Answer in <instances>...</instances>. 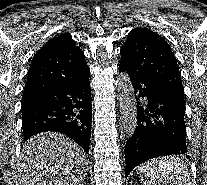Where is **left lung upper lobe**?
<instances>
[{
	"label": "left lung upper lobe",
	"instance_id": "5c2ea615",
	"mask_svg": "<svg viewBox=\"0 0 207 185\" xmlns=\"http://www.w3.org/2000/svg\"><path fill=\"white\" fill-rule=\"evenodd\" d=\"M120 66L134 76L145 77L184 102L179 68L168 43L146 28H135L120 50Z\"/></svg>",
	"mask_w": 207,
	"mask_h": 185
}]
</instances>
